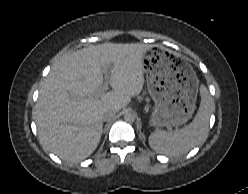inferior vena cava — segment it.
<instances>
[{"instance_id": "602c4592", "label": "inferior vena cava", "mask_w": 248, "mask_h": 194, "mask_svg": "<svg viewBox=\"0 0 248 194\" xmlns=\"http://www.w3.org/2000/svg\"><path fill=\"white\" fill-rule=\"evenodd\" d=\"M116 114V110L112 109V110H108L105 112L104 114V120H110L112 119Z\"/></svg>"}]
</instances>
